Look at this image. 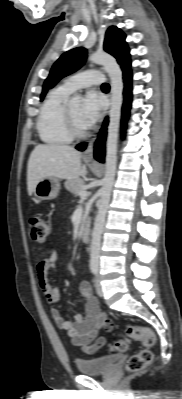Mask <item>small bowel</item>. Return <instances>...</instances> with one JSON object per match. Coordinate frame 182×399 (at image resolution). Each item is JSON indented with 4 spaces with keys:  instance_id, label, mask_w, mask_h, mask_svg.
Masks as SVG:
<instances>
[{
    "instance_id": "c3829d8e",
    "label": "small bowel",
    "mask_w": 182,
    "mask_h": 399,
    "mask_svg": "<svg viewBox=\"0 0 182 399\" xmlns=\"http://www.w3.org/2000/svg\"><path fill=\"white\" fill-rule=\"evenodd\" d=\"M58 260L59 253L53 250L36 266L38 285L49 304H56L60 300L58 288L51 284L48 278L49 272L55 267ZM79 293L84 302V314L75 313L71 319H65L56 308H52L50 314L55 325L67 332L73 345L88 353H95L106 343V339L99 335V330L101 328L110 330L113 323L100 312L88 281L79 283Z\"/></svg>"
}]
</instances>
